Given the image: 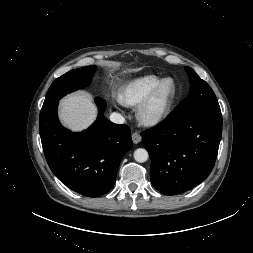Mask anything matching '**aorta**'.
<instances>
[{"instance_id": "obj_1", "label": "aorta", "mask_w": 253, "mask_h": 253, "mask_svg": "<svg viewBox=\"0 0 253 253\" xmlns=\"http://www.w3.org/2000/svg\"><path fill=\"white\" fill-rule=\"evenodd\" d=\"M149 154L146 149L138 148L134 151V159L139 162L143 163L148 160Z\"/></svg>"}]
</instances>
